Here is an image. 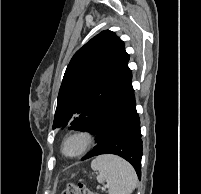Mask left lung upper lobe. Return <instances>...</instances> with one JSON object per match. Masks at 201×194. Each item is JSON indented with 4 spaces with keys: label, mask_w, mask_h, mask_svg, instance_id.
Here are the masks:
<instances>
[{
    "label": "left lung upper lobe",
    "mask_w": 201,
    "mask_h": 194,
    "mask_svg": "<svg viewBox=\"0 0 201 194\" xmlns=\"http://www.w3.org/2000/svg\"><path fill=\"white\" fill-rule=\"evenodd\" d=\"M124 42L112 31L93 37L72 57L59 90L53 129L83 131L131 70Z\"/></svg>",
    "instance_id": "obj_1"
}]
</instances>
